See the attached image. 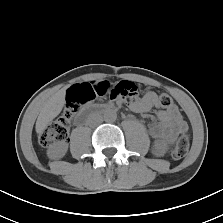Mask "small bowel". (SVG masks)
Masks as SVG:
<instances>
[{
  "mask_svg": "<svg viewBox=\"0 0 223 223\" xmlns=\"http://www.w3.org/2000/svg\"><path fill=\"white\" fill-rule=\"evenodd\" d=\"M129 107L138 113H146L157 108V122L150 124L149 134L155 140L153 154L162 156L166 149L175 142L179 135L188 131V125L178 108L174 105L159 108L158 96L147 91L141 98L130 102Z\"/></svg>",
  "mask_w": 223,
  "mask_h": 223,
  "instance_id": "obj_1",
  "label": "small bowel"
}]
</instances>
